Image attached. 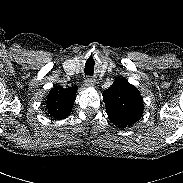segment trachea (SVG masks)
I'll use <instances>...</instances> for the list:
<instances>
[{
  "instance_id": "trachea-1",
  "label": "trachea",
  "mask_w": 183,
  "mask_h": 183,
  "mask_svg": "<svg viewBox=\"0 0 183 183\" xmlns=\"http://www.w3.org/2000/svg\"><path fill=\"white\" fill-rule=\"evenodd\" d=\"M95 61L93 57H89L85 64L84 72L86 75L93 76Z\"/></svg>"
}]
</instances>
